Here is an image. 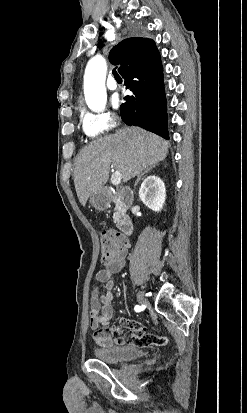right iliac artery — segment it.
Wrapping results in <instances>:
<instances>
[{
    "mask_svg": "<svg viewBox=\"0 0 247 413\" xmlns=\"http://www.w3.org/2000/svg\"><path fill=\"white\" fill-rule=\"evenodd\" d=\"M134 310H135L136 312H140V311L142 310V308H141L139 305H136L135 308H134Z\"/></svg>",
    "mask_w": 247,
    "mask_h": 413,
    "instance_id": "1",
    "label": "right iliac artery"
}]
</instances>
